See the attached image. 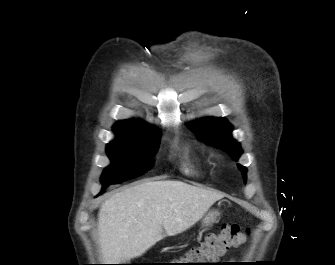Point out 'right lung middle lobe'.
<instances>
[{"instance_id":"obj_1","label":"right lung middle lobe","mask_w":335,"mask_h":265,"mask_svg":"<svg viewBox=\"0 0 335 265\" xmlns=\"http://www.w3.org/2000/svg\"><path fill=\"white\" fill-rule=\"evenodd\" d=\"M117 139L107 145L112 164L101 176L103 193L107 186L143 175L153 166L159 137L152 130H123L116 132Z\"/></svg>"}]
</instances>
